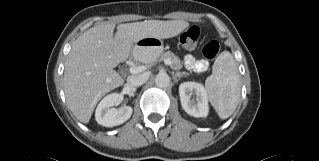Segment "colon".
<instances>
[{
  "mask_svg": "<svg viewBox=\"0 0 319 161\" xmlns=\"http://www.w3.org/2000/svg\"><path fill=\"white\" fill-rule=\"evenodd\" d=\"M200 28L197 26L190 27L183 31L179 36V41L184 48H194L199 40ZM220 52V44L216 40L208 41L202 48L204 58L208 60H215Z\"/></svg>",
  "mask_w": 319,
  "mask_h": 161,
  "instance_id": "1",
  "label": "colon"
}]
</instances>
